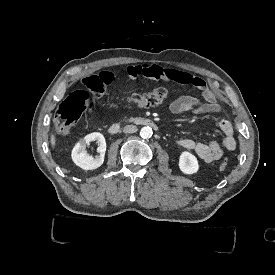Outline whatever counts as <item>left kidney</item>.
<instances>
[{
  "label": "left kidney",
  "instance_id": "1",
  "mask_svg": "<svg viewBox=\"0 0 275 275\" xmlns=\"http://www.w3.org/2000/svg\"><path fill=\"white\" fill-rule=\"evenodd\" d=\"M179 168L184 174L196 173L199 169L197 158L189 152H182L179 159Z\"/></svg>",
  "mask_w": 275,
  "mask_h": 275
}]
</instances>
